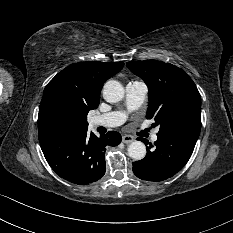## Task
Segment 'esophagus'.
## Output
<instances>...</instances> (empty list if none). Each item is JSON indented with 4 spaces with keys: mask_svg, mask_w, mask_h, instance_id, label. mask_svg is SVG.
<instances>
[{
    "mask_svg": "<svg viewBox=\"0 0 233 233\" xmlns=\"http://www.w3.org/2000/svg\"><path fill=\"white\" fill-rule=\"evenodd\" d=\"M133 141H134V138L132 136H130V135H123L122 136V142L123 143L129 144V143H131Z\"/></svg>",
    "mask_w": 233,
    "mask_h": 233,
    "instance_id": "1",
    "label": "esophagus"
}]
</instances>
